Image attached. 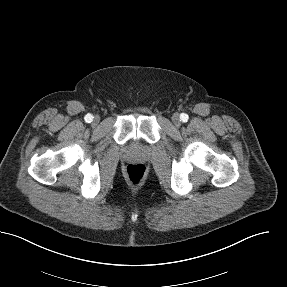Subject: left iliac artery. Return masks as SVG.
Instances as JSON below:
<instances>
[{
	"label": "left iliac artery",
	"mask_w": 287,
	"mask_h": 287,
	"mask_svg": "<svg viewBox=\"0 0 287 287\" xmlns=\"http://www.w3.org/2000/svg\"><path fill=\"white\" fill-rule=\"evenodd\" d=\"M180 119H181L182 122H187L188 119H189V117H188L187 114L182 113V114L180 115Z\"/></svg>",
	"instance_id": "obj_1"
}]
</instances>
